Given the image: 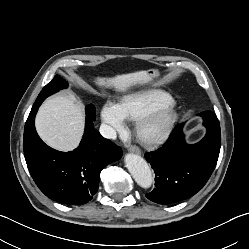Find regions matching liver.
Masks as SVG:
<instances>
[{
    "mask_svg": "<svg viewBox=\"0 0 249 249\" xmlns=\"http://www.w3.org/2000/svg\"><path fill=\"white\" fill-rule=\"evenodd\" d=\"M149 80L145 71H139L112 78L98 77L93 82L101 88L125 92L130 87L147 83ZM84 124L83 105L72 93L57 94L45 100L35 120L41 139L50 147L65 152L79 145Z\"/></svg>",
    "mask_w": 249,
    "mask_h": 249,
    "instance_id": "6515ba94",
    "label": "liver"
}]
</instances>
